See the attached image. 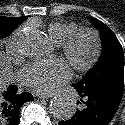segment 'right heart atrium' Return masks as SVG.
<instances>
[{"mask_svg": "<svg viewBox=\"0 0 125 125\" xmlns=\"http://www.w3.org/2000/svg\"><path fill=\"white\" fill-rule=\"evenodd\" d=\"M24 33H25V30L23 28H20L16 30L10 37L8 45H9L10 52L12 54L16 55L20 52L19 45L23 38Z\"/></svg>", "mask_w": 125, "mask_h": 125, "instance_id": "d8ad5b80", "label": "right heart atrium"}]
</instances>
